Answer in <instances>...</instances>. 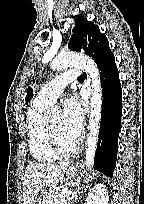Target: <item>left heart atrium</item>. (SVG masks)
Instances as JSON below:
<instances>
[{"mask_svg": "<svg viewBox=\"0 0 144 204\" xmlns=\"http://www.w3.org/2000/svg\"><path fill=\"white\" fill-rule=\"evenodd\" d=\"M63 123L66 133L77 140L83 127V113L79 102L70 98L64 102Z\"/></svg>", "mask_w": 144, "mask_h": 204, "instance_id": "39dd6f15", "label": "left heart atrium"}]
</instances>
